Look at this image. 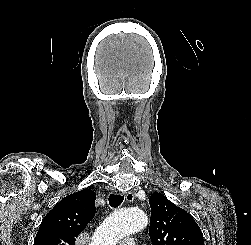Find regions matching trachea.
Instances as JSON below:
<instances>
[{
    "mask_svg": "<svg viewBox=\"0 0 251 245\" xmlns=\"http://www.w3.org/2000/svg\"><path fill=\"white\" fill-rule=\"evenodd\" d=\"M123 199V196L111 194L109 196V204L111 207L116 208L123 202Z\"/></svg>",
    "mask_w": 251,
    "mask_h": 245,
    "instance_id": "1",
    "label": "trachea"
}]
</instances>
